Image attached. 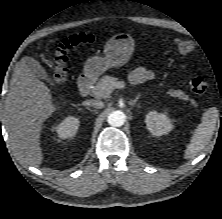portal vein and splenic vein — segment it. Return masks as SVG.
Wrapping results in <instances>:
<instances>
[{
  "label": "portal vein and splenic vein",
  "instance_id": "18ae733b",
  "mask_svg": "<svg viewBox=\"0 0 222 219\" xmlns=\"http://www.w3.org/2000/svg\"><path fill=\"white\" fill-rule=\"evenodd\" d=\"M114 88L122 89L125 88V85L123 84V82H114L111 86H109V89L113 90Z\"/></svg>",
  "mask_w": 222,
  "mask_h": 219
}]
</instances>
